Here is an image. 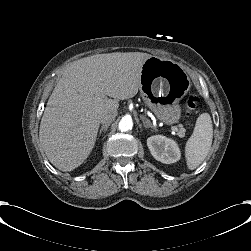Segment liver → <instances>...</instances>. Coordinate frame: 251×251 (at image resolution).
<instances>
[{"instance_id": "obj_1", "label": "liver", "mask_w": 251, "mask_h": 251, "mask_svg": "<svg viewBox=\"0 0 251 251\" xmlns=\"http://www.w3.org/2000/svg\"><path fill=\"white\" fill-rule=\"evenodd\" d=\"M150 57L115 52L70 65L49 97L39 129L40 145L56 168L72 171L84 162L94 147L101 119L113 120L119 100L138 93L141 69ZM100 94L105 96L103 101L96 99Z\"/></svg>"}]
</instances>
